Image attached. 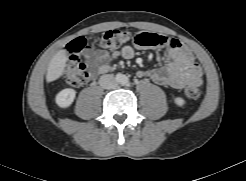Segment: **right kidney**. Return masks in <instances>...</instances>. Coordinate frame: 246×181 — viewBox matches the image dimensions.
I'll return each instance as SVG.
<instances>
[{"instance_id":"obj_1","label":"right kidney","mask_w":246,"mask_h":181,"mask_svg":"<svg viewBox=\"0 0 246 181\" xmlns=\"http://www.w3.org/2000/svg\"><path fill=\"white\" fill-rule=\"evenodd\" d=\"M76 91L71 88H66L60 91L56 97L55 102L61 108H68L75 99Z\"/></svg>"}]
</instances>
